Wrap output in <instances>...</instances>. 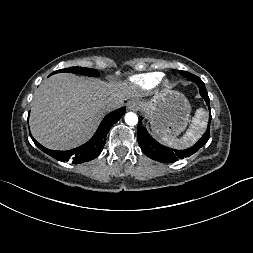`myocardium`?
Returning <instances> with one entry per match:
<instances>
[{
	"label": "myocardium",
	"mask_w": 253,
	"mask_h": 253,
	"mask_svg": "<svg viewBox=\"0 0 253 253\" xmlns=\"http://www.w3.org/2000/svg\"><path fill=\"white\" fill-rule=\"evenodd\" d=\"M159 84H160V87H161L164 91H166V90H168V89L171 88V86H172V81H171V79H169V78L162 77L161 80L159 81Z\"/></svg>",
	"instance_id": "obj_1"
}]
</instances>
